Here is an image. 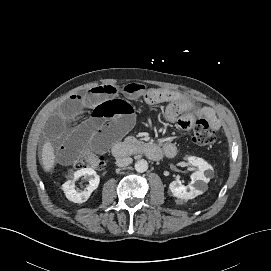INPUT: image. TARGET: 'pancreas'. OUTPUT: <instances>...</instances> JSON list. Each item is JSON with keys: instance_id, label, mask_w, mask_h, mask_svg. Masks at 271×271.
Returning <instances> with one entry per match:
<instances>
[{"instance_id": "cf45deb5", "label": "pancreas", "mask_w": 271, "mask_h": 271, "mask_svg": "<svg viewBox=\"0 0 271 271\" xmlns=\"http://www.w3.org/2000/svg\"><path fill=\"white\" fill-rule=\"evenodd\" d=\"M125 142H126L127 144H129L130 146H136V145H139V144H140V142H139L136 138H134V137H132V136L127 137V138L125 139Z\"/></svg>"}]
</instances>
